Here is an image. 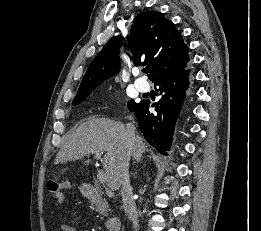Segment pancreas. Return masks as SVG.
<instances>
[{"mask_svg":"<svg viewBox=\"0 0 261 231\" xmlns=\"http://www.w3.org/2000/svg\"><path fill=\"white\" fill-rule=\"evenodd\" d=\"M94 203H95V202L92 200V201H91L92 206L94 205ZM105 206H108L107 203H105Z\"/></svg>","mask_w":261,"mask_h":231,"instance_id":"pancreas-1","label":"pancreas"}]
</instances>
